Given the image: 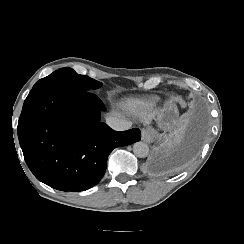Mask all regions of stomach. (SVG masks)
Instances as JSON below:
<instances>
[{
    "label": "stomach",
    "mask_w": 244,
    "mask_h": 244,
    "mask_svg": "<svg viewBox=\"0 0 244 244\" xmlns=\"http://www.w3.org/2000/svg\"><path fill=\"white\" fill-rule=\"evenodd\" d=\"M164 134L171 132L178 120V111L174 102L168 104L158 116Z\"/></svg>",
    "instance_id": "obj_1"
}]
</instances>
